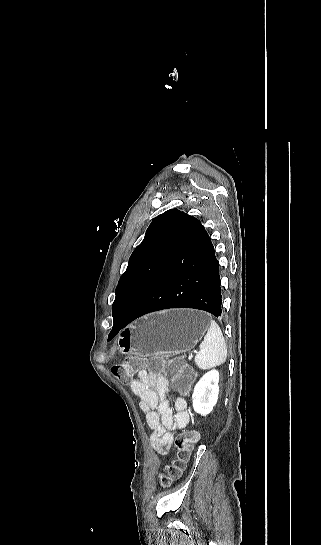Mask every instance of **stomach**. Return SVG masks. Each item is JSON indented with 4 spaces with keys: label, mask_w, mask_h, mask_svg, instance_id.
<instances>
[{
    "label": "stomach",
    "mask_w": 321,
    "mask_h": 545,
    "mask_svg": "<svg viewBox=\"0 0 321 545\" xmlns=\"http://www.w3.org/2000/svg\"><path fill=\"white\" fill-rule=\"evenodd\" d=\"M208 317L195 309H169L137 319L119 333L120 355L175 357L191 351L208 329Z\"/></svg>",
    "instance_id": "obj_1"
}]
</instances>
